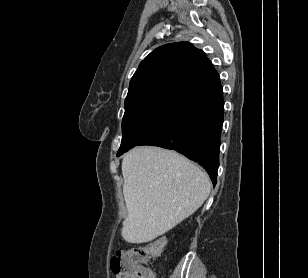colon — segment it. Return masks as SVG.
Instances as JSON below:
<instances>
[{"mask_svg":"<svg viewBox=\"0 0 308 278\" xmlns=\"http://www.w3.org/2000/svg\"><path fill=\"white\" fill-rule=\"evenodd\" d=\"M166 244L160 236L144 245L118 250L111 259V269L118 278H154L149 261L159 256Z\"/></svg>","mask_w":308,"mask_h":278,"instance_id":"colon-1","label":"colon"}]
</instances>
